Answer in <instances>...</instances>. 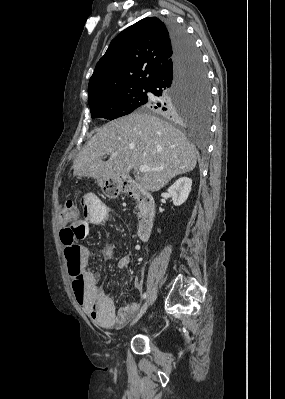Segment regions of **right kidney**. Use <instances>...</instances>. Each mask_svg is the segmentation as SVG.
<instances>
[{
	"mask_svg": "<svg viewBox=\"0 0 285 399\" xmlns=\"http://www.w3.org/2000/svg\"><path fill=\"white\" fill-rule=\"evenodd\" d=\"M192 186V180L188 177L179 178L168 189V194L172 197L175 206L182 205L188 198Z\"/></svg>",
	"mask_w": 285,
	"mask_h": 399,
	"instance_id": "1",
	"label": "right kidney"
}]
</instances>
